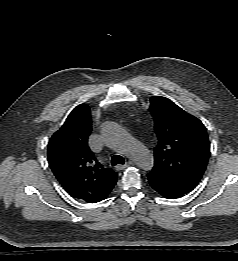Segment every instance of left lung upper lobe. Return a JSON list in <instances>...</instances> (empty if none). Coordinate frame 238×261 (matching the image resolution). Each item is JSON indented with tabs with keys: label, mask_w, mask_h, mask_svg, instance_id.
<instances>
[{
	"label": "left lung upper lobe",
	"mask_w": 238,
	"mask_h": 261,
	"mask_svg": "<svg viewBox=\"0 0 238 261\" xmlns=\"http://www.w3.org/2000/svg\"><path fill=\"white\" fill-rule=\"evenodd\" d=\"M150 111L158 145L148 177L182 195L189 193L201 180L210 156L206 128L165 97H151Z\"/></svg>",
	"instance_id": "1"
}]
</instances>
